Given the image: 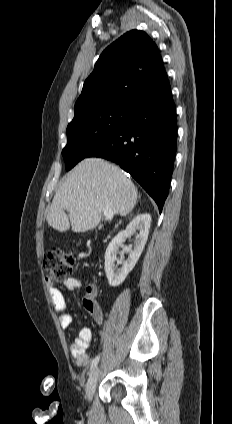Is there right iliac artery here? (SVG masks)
Returning <instances> with one entry per match:
<instances>
[{
    "instance_id": "obj_1",
    "label": "right iliac artery",
    "mask_w": 232,
    "mask_h": 424,
    "mask_svg": "<svg viewBox=\"0 0 232 424\" xmlns=\"http://www.w3.org/2000/svg\"><path fill=\"white\" fill-rule=\"evenodd\" d=\"M99 359H100V355L95 357V359L91 363L90 371H92L97 366Z\"/></svg>"
}]
</instances>
